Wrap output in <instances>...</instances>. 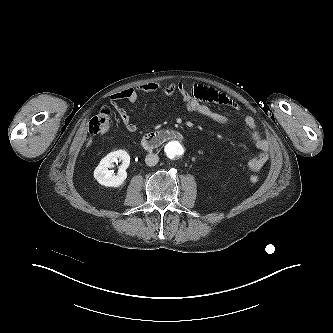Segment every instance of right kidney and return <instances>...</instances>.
<instances>
[{
  "label": "right kidney",
  "instance_id": "1",
  "mask_svg": "<svg viewBox=\"0 0 333 333\" xmlns=\"http://www.w3.org/2000/svg\"><path fill=\"white\" fill-rule=\"evenodd\" d=\"M122 161V164L115 174L108 169L112 166L113 162ZM130 164V156L124 150H117L109 153L103 159H101L99 165L94 170L95 179L106 187H119L124 184L127 173L126 169Z\"/></svg>",
  "mask_w": 333,
  "mask_h": 333
}]
</instances>
